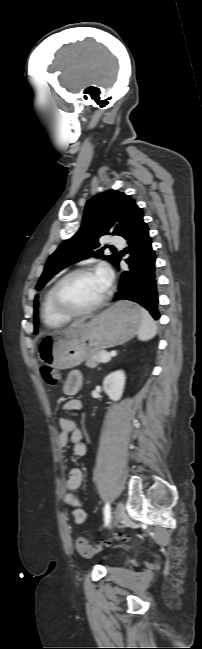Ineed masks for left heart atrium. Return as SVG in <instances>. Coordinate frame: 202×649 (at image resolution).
<instances>
[{
    "label": "left heart atrium",
    "instance_id": "obj_1",
    "mask_svg": "<svg viewBox=\"0 0 202 649\" xmlns=\"http://www.w3.org/2000/svg\"><path fill=\"white\" fill-rule=\"evenodd\" d=\"M97 275L103 280V282L108 286L111 281V271L108 266L101 265L96 271Z\"/></svg>",
    "mask_w": 202,
    "mask_h": 649
}]
</instances>
